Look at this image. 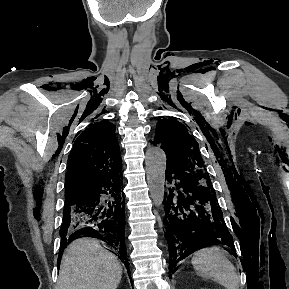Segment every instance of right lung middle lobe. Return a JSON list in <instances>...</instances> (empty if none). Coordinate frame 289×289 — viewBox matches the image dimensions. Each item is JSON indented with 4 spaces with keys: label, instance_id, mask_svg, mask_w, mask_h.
<instances>
[{
    "label": "right lung middle lobe",
    "instance_id": "right-lung-middle-lobe-1",
    "mask_svg": "<svg viewBox=\"0 0 289 289\" xmlns=\"http://www.w3.org/2000/svg\"><path fill=\"white\" fill-rule=\"evenodd\" d=\"M65 202H70V198L69 197H67V198H65Z\"/></svg>",
    "mask_w": 289,
    "mask_h": 289
}]
</instances>
